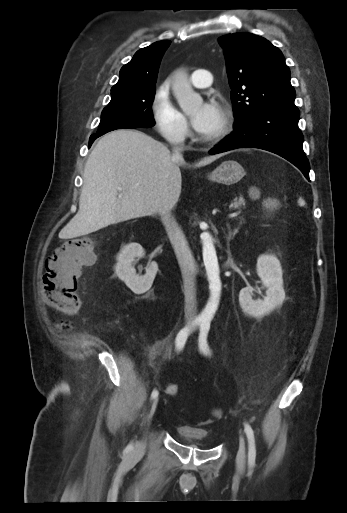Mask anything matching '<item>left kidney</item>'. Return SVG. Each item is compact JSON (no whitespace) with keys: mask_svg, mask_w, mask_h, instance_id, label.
<instances>
[{"mask_svg":"<svg viewBox=\"0 0 347 513\" xmlns=\"http://www.w3.org/2000/svg\"><path fill=\"white\" fill-rule=\"evenodd\" d=\"M257 275L261 278L262 289L266 288L264 299L253 300V292L261 293L260 289L245 287L239 293V302L243 311L249 316L262 318L277 307L281 306L285 299L283 288L282 267L274 255L263 254L257 260Z\"/></svg>","mask_w":347,"mask_h":513,"instance_id":"1","label":"left kidney"}]
</instances>
